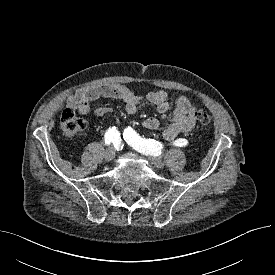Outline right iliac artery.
<instances>
[{"instance_id":"1","label":"right iliac artery","mask_w":275,"mask_h":275,"mask_svg":"<svg viewBox=\"0 0 275 275\" xmlns=\"http://www.w3.org/2000/svg\"><path fill=\"white\" fill-rule=\"evenodd\" d=\"M120 139V133L116 127L109 128L104 136L106 145H110L111 143L117 144L119 143Z\"/></svg>"}]
</instances>
